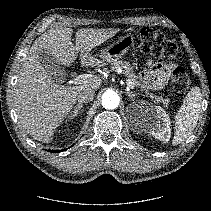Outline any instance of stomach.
<instances>
[{
  "instance_id": "1",
  "label": "stomach",
  "mask_w": 211,
  "mask_h": 211,
  "mask_svg": "<svg viewBox=\"0 0 211 211\" xmlns=\"http://www.w3.org/2000/svg\"><path fill=\"white\" fill-rule=\"evenodd\" d=\"M134 42L135 38L133 35H123L112 45L106 47L100 55H96V58L101 62V64L117 61L127 54L129 49L134 45Z\"/></svg>"
}]
</instances>
